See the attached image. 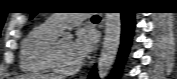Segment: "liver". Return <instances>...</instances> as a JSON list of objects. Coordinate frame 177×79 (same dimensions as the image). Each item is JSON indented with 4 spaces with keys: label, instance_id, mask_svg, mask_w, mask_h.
I'll return each mask as SVG.
<instances>
[{
    "label": "liver",
    "instance_id": "6515ba94",
    "mask_svg": "<svg viewBox=\"0 0 177 79\" xmlns=\"http://www.w3.org/2000/svg\"><path fill=\"white\" fill-rule=\"evenodd\" d=\"M25 78H27V79H56L53 76H28V77H25ZM15 79H21V78L16 77Z\"/></svg>",
    "mask_w": 177,
    "mask_h": 79
}]
</instances>
